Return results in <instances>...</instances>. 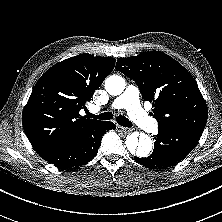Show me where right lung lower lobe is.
<instances>
[{
  "label": "right lung lower lobe",
  "instance_id": "right-lung-lower-lobe-1",
  "mask_svg": "<svg viewBox=\"0 0 222 222\" xmlns=\"http://www.w3.org/2000/svg\"><path fill=\"white\" fill-rule=\"evenodd\" d=\"M115 124L100 121L68 142L47 147L37 153L48 162L60 168H77L93 159L106 130L115 129Z\"/></svg>",
  "mask_w": 222,
  "mask_h": 222
}]
</instances>
